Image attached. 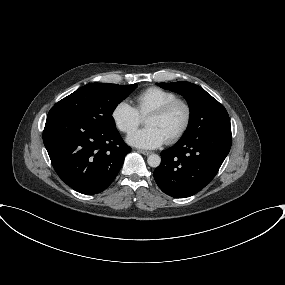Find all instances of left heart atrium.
<instances>
[{
  "instance_id": "39dd6f15",
  "label": "left heart atrium",
  "mask_w": 285,
  "mask_h": 285,
  "mask_svg": "<svg viewBox=\"0 0 285 285\" xmlns=\"http://www.w3.org/2000/svg\"><path fill=\"white\" fill-rule=\"evenodd\" d=\"M129 144L143 149H154L166 142L164 134L154 126H146L143 129L131 133L127 137Z\"/></svg>"
}]
</instances>
